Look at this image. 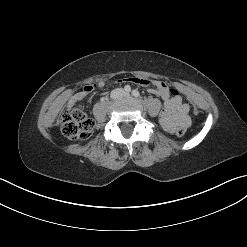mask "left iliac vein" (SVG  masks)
<instances>
[{
    "instance_id": "1",
    "label": "left iliac vein",
    "mask_w": 247,
    "mask_h": 247,
    "mask_svg": "<svg viewBox=\"0 0 247 247\" xmlns=\"http://www.w3.org/2000/svg\"><path fill=\"white\" fill-rule=\"evenodd\" d=\"M124 95H125V96H129V94H128V93H125Z\"/></svg>"
}]
</instances>
